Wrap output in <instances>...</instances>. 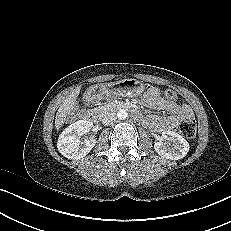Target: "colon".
<instances>
[{"mask_svg":"<svg viewBox=\"0 0 231 231\" xmlns=\"http://www.w3.org/2000/svg\"><path fill=\"white\" fill-rule=\"evenodd\" d=\"M165 96L167 99L171 101L177 100V94L172 89H167L165 91ZM178 129L181 135L187 139H193L196 136L197 129H196V123L194 120H185L181 122Z\"/></svg>","mask_w":231,"mask_h":231,"instance_id":"1","label":"colon"}]
</instances>
